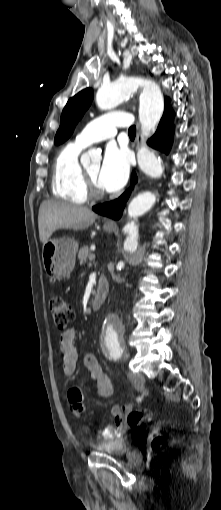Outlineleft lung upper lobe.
I'll list each match as a JSON object with an SVG mask.
<instances>
[{
    "mask_svg": "<svg viewBox=\"0 0 221 510\" xmlns=\"http://www.w3.org/2000/svg\"><path fill=\"white\" fill-rule=\"evenodd\" d=\"M93 100V90L86 88L70 98L64 107L60 120V127L56 133L54 143L61 144L66 141L74 131L78 121L89 108ZM169 99H166L165 108H168Z\"/></svg>",
    "mask_w": 221,
    "mask_h": 510,
    "instance_id": "left-lung-upper-lobe-1",
    "label": "left lung upper lobe"
}]
</instances>
